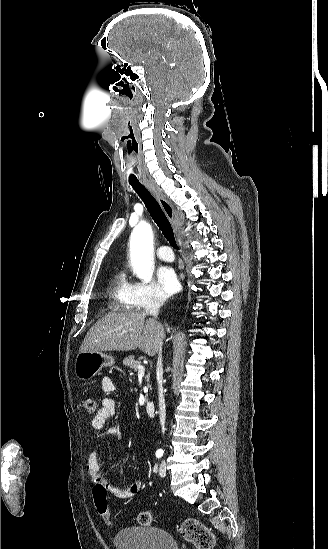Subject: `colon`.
I'll return each instance as SVG.
<instances>
[{
	"label": "colon",
	"mask_w": 328,
	"mask_h": 549,
	"mask_svg": "<svg viewBox=\"0 0 328 549\" xmlns=\"http://www.w3.org/2000/svg\"><path fill=\"white\" fill-rule=\"evenodd\" d=\"M83 406L85 412L88 414L97 412L98 404L92 396L84 398ZM93 498L98 515L106 524H112L107 505V489L103 483H94ZM137 520L141 526L148 527L153 523L154 516L151 511L145 510L139 513ZM181 533L186 541L192 543L198 549H211L215 544V537L212 531L196 519L185 520L181 526Z\"/></svg>",
	"instance_id": "colon-1"
}]
</instances>
